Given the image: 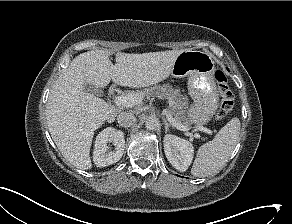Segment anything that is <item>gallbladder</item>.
I'll use <instances>...</instances> for the list:
<instances>
[{"mask_svg":"<svg viewBox=\"0 0 292 224\" xmlns=\"http://www.w3.org/2000/svg\"><path fill=\"white\" fill-rule=\"evenodd\" d=\"M83 88L88 93H92L98 96H103V91L99 90L98 88H95V86H92L90 84H84Z\"/></svg>","mask_w":292,"mask_h":224,"instance_id":"bac80fb5","label":"gallbladder"}]
</instances>
